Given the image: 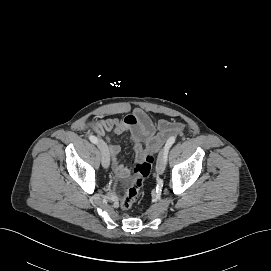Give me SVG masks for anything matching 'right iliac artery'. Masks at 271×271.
Here are the masks:
<instances>
[{
    "instance_id": "obj_1",
    "label": "right iliac artery",
    "mask_w": 271,
    "mask_h": 271,
    "mask_svg": "<svg viewBox=\"0 0 271 271\" xmlns=\"http://www.w3.org/2000/svg\"><path fill=\"white\" fill-rule=\"evenodd\" d=\"M89 140L94 143V144H97L98 143V139L97 137L93 136V135H90L89 136Z\"/></svg>"
}]
</instances>
